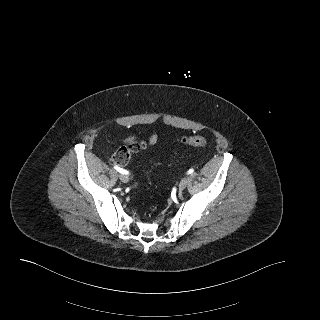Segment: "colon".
<instances>
[{"label": "colon", "instance_id": "5ec220e1", "mask_svg": "<svg viewBox=\"0 0 320 320\" xmlns=\"http://www.w3.org/2000/svg\"><path fill=\"white\" fill-rule=\"evenodd\" d=\"M183 144L194 147H206L208 140L203 136H189L182 139ZM148 147L145 141H135L121 146L113 155V162L119 166L127 164L132 154L144 150Z\"/></svg>", "mask_w": 320, "mask_h": 320}]
</instances>
